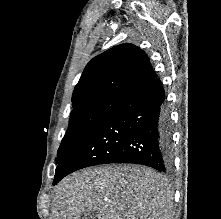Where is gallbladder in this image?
Segmentation results:
<instances>
[{
  "mask_svg": "<svg viewBox=\"0 0 221 219\" xmlns=\"http://www.w3.org/2000/svg\"><path fill=\"white\" fill-rule=\"evenodd\" d=\"M80 219H96V215L92 211H86Z\"/></svg>",
  "mask_w": 221,
  "mask_h": 219,
  "instance_id": "bac80fb5",
  "label": "gallbladder"
}]
</instances>
